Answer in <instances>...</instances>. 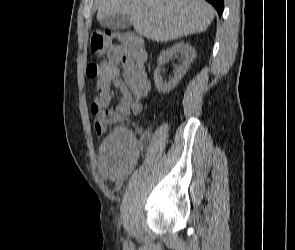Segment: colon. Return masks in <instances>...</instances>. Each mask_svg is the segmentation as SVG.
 Instances as JSON below:
<instances>
[{"mask_svg":"<svg viewBox=\"0 0 295 250\" xmlns=\"http://www.w3.org/2000/svg\"><path fill=\"white\" fill-rule=\"evenodd\" d=\"M114 40L120 41L133 54L144 52V40L141 36L131 32L112 30H96L91 35V51L98 57L109 55L114 47ZM106 68V61L101 63L90 62L86 67V74L90 78L100 76ZM92 111L96 115L95 128L98 134L104 133L109 126L125 119L128 114L138 113L137 108L100 109L95 104Z\"/></svg>","mask_w":295,"mask_h":250,"instance_id":"1","label":"colon"}]
</instances>
